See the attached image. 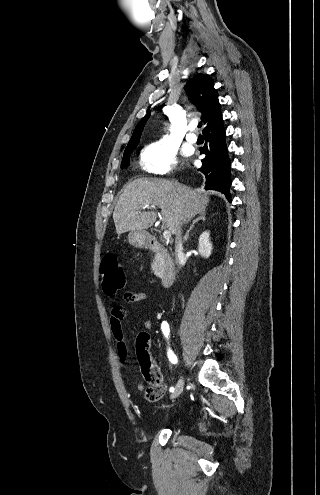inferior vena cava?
<instances>
[{"label": "inferior vena cava", "mask_w": 320, "mask_h": 495, "mask_svg": "<svg viewBox=\"0 0 320 495\" xmlns=\"http://www.w3.org/2000/svg\"><path fill=\"white\" fill-rule=\"evenodd\" d=\"M174 184L177 185V182H174ZM181 231H182L181 227H179L177 232H176V239H175V254H176L175 260H176V264H177L178 269L181 268L180 258L182 256V251H183L182 237H181L182 232Z\"/></svg>", "instance_id": "1"}]
</instances>
